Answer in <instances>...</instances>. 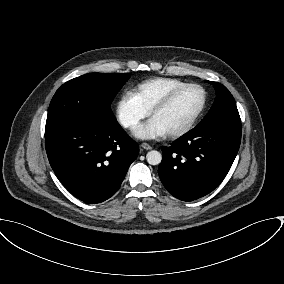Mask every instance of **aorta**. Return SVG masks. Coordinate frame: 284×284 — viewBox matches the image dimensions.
<instances>
[{"label": "aorta", "mask_w": 284, "mask_h": 284, "mask_svg": "<svg viewBox=\"0 0 284 284\" xmlns=\"http://www.w3.org/2000/svg\"><path fill=\"white\" fill-rule=\"evenodd\" d=\"M146 160L150 165H159L162 160V155L160 152L152 150L147 153Z\"/></svg>", "instance_id": "762f6f07"}]
</instances>
